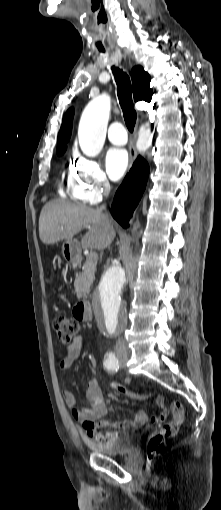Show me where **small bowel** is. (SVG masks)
Instances as JSON below:
<instances>
[{
	"mask_svg": "<svg viewBox=\"0 0 221 510\" xmlns=\"http://www.w3.org/2000/svg\"><path fill=\"white\" fill-rule=\"evenodd\" d=\"M84 346L83 339L78 336L66 347L65 354L59 361L61 371L69 370L74 362L79 358ZM62 396L65 404L71 409L72 417L84 425L86 435L96 441L110 442L118 439L120 436L137 430L149 422H159V415L167 411L165 399L162 395H155L157 413L150 416L146 411H138L132 420L125 422H111L101 420L107 413V406L103 395L94 380H90L85 388V396L91 401L90 407L79 408L73 393L64 388ZM102 434L103 438H98Z\"/></svg>",
	"mask_w": 221,
	"mask_h": 510,
	"instance_id": "obj_1",
	"label": "small bowel"
}]
</instances>
